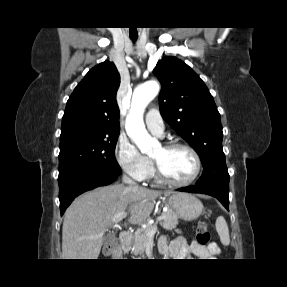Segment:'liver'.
I'll use <instances>...</instances> for the list:
<instances>
[{"label":"liver","instance_id":"obj_1","mask_svg":"<svg viewBox=\"0 0 287 287\" xmlns=\"http://www.w3.org/2000/svg\"><path fill=\"white\" fill-rule=\"evenodd\" d=\"M171 193L115 184L81 195L65 212L63 259H97L103 236L116 214L127 211L131 223L142 224L152 213L155 199Z\"/></svg>","mask_w":287,"mask_h":287}]
</instances>
